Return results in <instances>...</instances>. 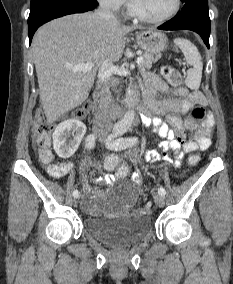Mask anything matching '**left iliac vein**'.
<instances>
[{"mask_svg": "<svg viewBox=\"0 0 233 284\" xmlns=\"http://www.w3.org/2000/svg\"><path fill=\"white\" fill-rule=\"evenodd\" d=\"M101 140H103V138H100ZM155 202L157 204V206L159 207H163L164 206V196L160 195V194H156L154 196Z\"/></svg>", "mask_w": 233, "mask_h": 284, "instance_id": "4c4485c4", "label": "left iliac vein"}]
</instances>
